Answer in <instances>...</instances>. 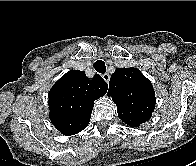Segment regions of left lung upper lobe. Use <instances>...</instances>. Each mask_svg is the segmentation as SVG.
Masks as SVG:
<instances>
[{"label": "left lung upper lobe", "instance_id": "obj_1", "mask_svg": "<svg viewBox=\"0 0 196 166\" xmlns=\"http://www.w3.org/2000/svg\"><path fill=\"white\" fill-rule=\"evenodd\" d=\"M107 95L117 105L119 118L130 127H138L152 116L155 91L137 68H117L111 75Z\"/></svg>", "mask_w": 196, "mask_h": 166}]
</instances>
